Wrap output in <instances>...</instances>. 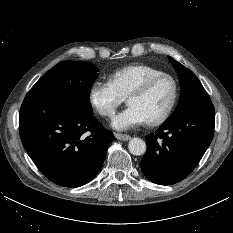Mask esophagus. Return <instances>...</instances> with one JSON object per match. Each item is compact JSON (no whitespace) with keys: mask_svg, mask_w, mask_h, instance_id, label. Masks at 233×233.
Wrapping results in <instances>:
<instances>
[{"mask_svg":"<svg viewBox=\"0 0 233 233\" xmlns=\"http://www.w3.org/2000/svg\"><path fill=\"white\" fill-rule=\"evenodd\" d=\"M115 137H116L118 140H122V141H127V140H130V139H131V136H130V135L121 134V133H115Z\"/></svg>","mask_w":233,"mask_h":233,"instance_id":"34e87169","label":"esophagus"}]
</instances>
